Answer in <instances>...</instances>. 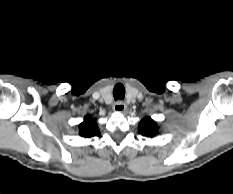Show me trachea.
I'll return each instance as SVG.
<instances>
[{
    "label": "trachea",
    "mask_w": 233,
    "mask_h": 194,
    "mask_svg": "<svg viewBox=\"0 0 233 194\" xmlns=\"http://www.w3.org/2000/svg\"><path fill=\"white\" fill-rule=\"evenodd\" d=\"M113 96L115 100H123L125 97V88L123 84L118 83L113 89Z\"/></svg>",
    "instance_id": "trachea-1"
}]
</instances>
